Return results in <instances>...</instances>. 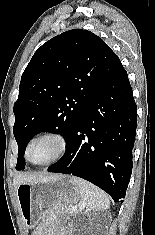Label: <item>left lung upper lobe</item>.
<instances>
[{
  "mask_svg": "<svg viewBox=\"0 0 155 235\" xmlns=\"http://www.w3.org/2000/svg\"><path fill=\"white\" fill-rule=\"evenodd\" d=\"M118 62V56L100 37L83 29L66 31L37 49L22 74L14 104L17 170L25 168L23 153L34 135L60 133L68 142Z\"/></svg>",
  "mask_w": 155,
  "mask_h": 235,
  "instance_id": "5c2ea615",
  "label": "left lung upper lobe"
}]
</instances>
